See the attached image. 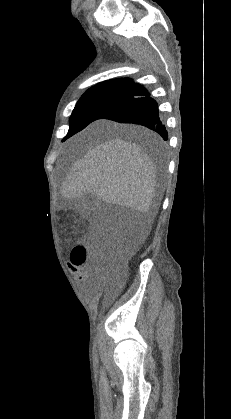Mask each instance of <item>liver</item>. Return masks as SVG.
I'll list each match as a JSON object with an SVG mask.
<instances>
[{
	"mask_svg": "<svg viewBox=\"0 0 231 419\" xmlns=\"http://www.w3.org/2000/svg\"><path fill=\"white\" fill-rule=\"evenodd\" d=\"M114 130L131 131L156 141V137L137 126L105 123ZM156 171L150 157L132 142L112 138L96 144L74 164L62 183L65 198H79L92 193L106 203L132 208L144 215L140 241L148 235L156 216Z\"/></svg>",
	"mask_w": 231,
	"mask_h": 419,
	"instance_id": "obj_1",
	"label": "liver"
}]
</instances>
